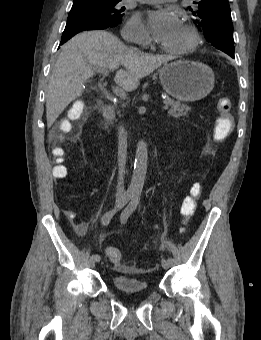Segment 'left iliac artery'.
<instances>
[{
	"instance_id": "44dca946",
	"label": "left iliac artery",
	"mask_w": 261,
	"mask_h": 340,
	"mask_svg": "<svg viewBox=\"0 0 261 340\" xmlns=\"http://www.w3.org/2000/svg\"><path fill=\"white\" fill-rule=\"evenodd\" d=\"M140 200V194L139 193H134L132 195V200L129 203V205L124 209V211L121 213L120 220L122 223H126L127 219L130 217V215L135 211V209L138 206ZM166 260L170 263L173 264L175 262V258L172 256H167Z\"/></svg>"
}]
</instances>
